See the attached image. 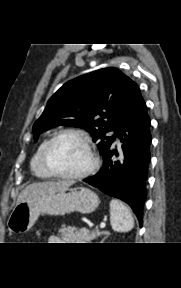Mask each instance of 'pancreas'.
<instances>
[{
    "mask_svg": "<svg viewBox=\"0 0 181 288\" xmlns=\"http://www.w3.org/2000/svg\"><path fill=\"white\" fill-rule=\"evenodd\" d=\"M106 234V232L90 231L86 228L77 229L75 227H65L64 225L59 230V235L68 243H90L92 240Z\"/></svg>",
    "mask_w": 181,
    "mask_h": 288,
    "instance_id": "obj_1",
    "label": "pancreas"
}]
</instances>
